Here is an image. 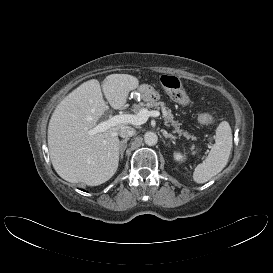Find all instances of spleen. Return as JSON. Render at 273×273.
<instances>
[{"label":"spleen","mask_w":273,"mask_h":273,"mask_svg":"<svg viewBox=\"0 0 273 273\" xmlns=\"http://www.w3.org/2000/svg\"><path fill=\"white\" fill-rule=\"evenodd\" d=\"M232 148V130L228 122L223 121L216 129L215 143L202 163L193 172L194 181L205 183L221 172L228 163Z\"/></svg>","instance_id":"3e777b00"}]
</instances>
